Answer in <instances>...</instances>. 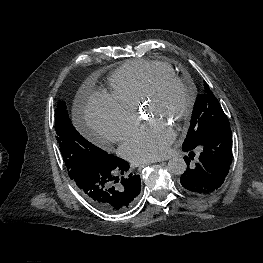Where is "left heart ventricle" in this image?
Wrapping results in <instances>:
<instances>
[{
	"instance_id": "obj_1",
	"label": "left heart ventricle",
	"mask_w": 263,
	"mask_h": 263,
	"mask_svg": "<svg viewBox=\"0 0 263 263\" xmlns=\"http://www.w3.org/2000/svg\"><path fill=\"white\" fill-rule=\"evenodd\" d=\"M186 102V92L176 84H169L157 98L145 104L143 108L147 117L161 118L173 124L176 117L184 109Z\"/></svg>"
}]
</instances>
